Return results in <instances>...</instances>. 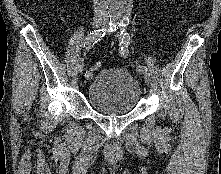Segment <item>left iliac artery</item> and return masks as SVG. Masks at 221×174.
Segmentation results:
<instances>
[{"mask_svg":"<svg viewBox=\"0 0 221 174\" xmlns=\"http://www.w3.org/2000/svg\"><path fill=\"white\" fill-rule=\"evenodd\" d=\"M129 24V20L127 18H123L120 21H116L114 22L113 27L111 28V31L118 29V27H122V28H126V26H128ZM122 41L120 43L121 45V49H120V55L124 58H126L128 56V46L130 44L131 38L129 33L123 29L122 32ZM144 70H147V68L145 66H139L137 68L138 72H143Z\"/></svg>","mask_w":221,"mask_h":174,"instance_id":"obj_1","label":"left iliac artery"}]
</instances>
